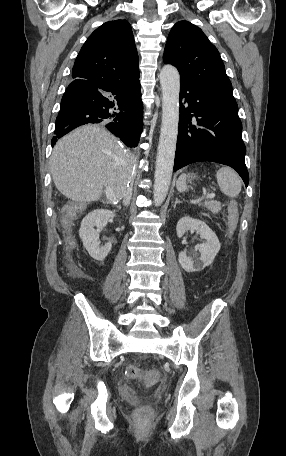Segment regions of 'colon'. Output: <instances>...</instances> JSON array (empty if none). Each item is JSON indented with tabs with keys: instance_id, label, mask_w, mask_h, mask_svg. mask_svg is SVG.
<instances>
[{
	"instance_id": "1",
	"label": "colon",
	"mask_w": 286,
	"mask_h": 456,
	"mask_svg": "<svg viewBox=\"0 0 286 456\" xmlns=\"http://www.w3.org/2000/svg\"><path fill=\"white\" fill-rule=\"evenodd\" d=\"M231 208H232L231 216L234 217L235 216V206H234V204L231 205ZM231 228H232V226H231ZM125 373H126L127 377H129L131 379L140 380L146 387L153 386L156 383H158L159 380H160V373H159L158 370L153 369V370H149L147 372H142L134 364H129L126 367ZM146 411L147 410L145 408H141V409L138 410V414L140 416H144L146 414Z\"/></svg>"
}]
</instances>
